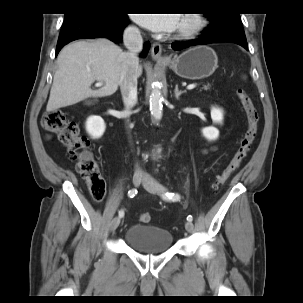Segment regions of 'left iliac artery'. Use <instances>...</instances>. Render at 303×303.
<instances>
[{"mask_svg":"<svg viewBox=\"0 0 303 303\" xmlns=\"http://www.w3.org/2000/svg\"><path fill=\"white\" fill-rule=\"evenodd\" d=\"M163 198L168 199V200H172V201H178V200H180V195L178 193H168L167 192L163 195ZM187 220L192 222L193 217L191 215H189L187 217Z\"/></svg>","mask_w":303,"mask_h":303,"instance_id":"obj_1","label":"left iliac artery"}]
</instances>
